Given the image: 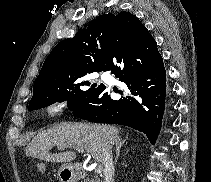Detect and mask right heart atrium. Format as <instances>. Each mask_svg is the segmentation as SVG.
<instances>
[{
  "mask_svg": "<svg viewBox=\"0 0 211 182\" xmlns=\"http://www.w3.org/2000/svg\"><path fill=\"white\" fill-rule=\"evenodd\" d=\"M66 107H67V101L60 100V101L55 102L52 105V110L55 113H61L62 111H64L66 109Z\"/></svg>",
  "mask_w": 211,
  "mask_h": 182,
  "instance_id": "d8ad5b80",
  "label": "right heart atrium"
}]
</instances>
